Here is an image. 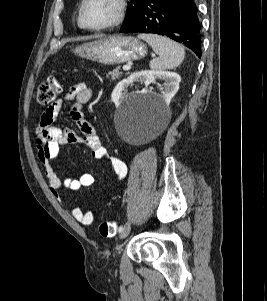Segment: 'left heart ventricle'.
I'll return each instance as SVG.
<instances>
[{"label":"left heart ventricle","instance_id":"b2bd125f","mask_svg":"<svg viewBox=\"0 0 267 301\" xmlns=\"http://www.w3.org/2000/svg\"><path fill=\"white\" fill-rule=\"evenodd\" d=\"M117 12L115 0H88L85 20L89 25H102L111 21Z\"/></svg>","mask_w":267,"mask_h":301}]
</instances>
